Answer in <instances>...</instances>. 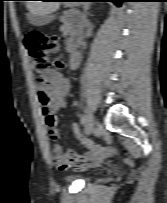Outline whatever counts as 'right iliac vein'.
I'll return each mask as SVG.
<instances>
[{
  "mask_svg": "<svg viewBox=\"0 0 167 203\" xmlns=\"http://www.w3.org/2000/svg\"><path fill=\"white\" fill-rule=\"evenodd\" d=\"M86 113H87L86 134L90 135L94 130L96 119L90 109H87Z\"/></svg>",
  "mask_w": 167,
  "mask_h": 203,
  "instance_id": "63e3f726",
  "label": "right iliac vein"
}]
</instances>
